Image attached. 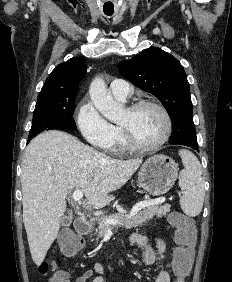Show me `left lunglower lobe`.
<instances>
[{
  "label": "left lung lower lobe",
  "instance_id": "left-lung-lower-lobe-1",
  "mask_svg": "<svg viewBox=\"0 0 232 282\" xmlns=\"http://www.w3.org/2000/svg\"><path fill=\"white\" fill-rule=\"evenodd\" d=\"M171 144H179V145L190 146V147H192L193 149H195L196 151H199L198 144L183 143V142H181L180 140H178V139H177L176 137H174V136L172 137Z\"/></svg>",
  "mask_w": 232,
  "mask_h": 282
}]
</instances>
